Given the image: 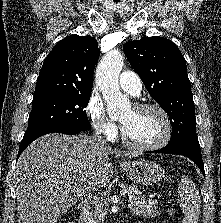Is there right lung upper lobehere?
I'll use <instances>...</instances> for the list:
<instances>
[{
    "mask_svg": "<svg viewBox=\"0 0 221 223\" xmlns=\"http://www.w3.org/2000/svg\"><path fill=\"white\" fill-rule=\"evenodd\" d=\"M98 58V43L89 35H71L59 41L42 65L33 100L90 93Z\"/></svg>",
    "mask_w": 221,
    "mask_h": 223,
    "instance_id": "right-lung-upper-lobe-1",
    "label": "right lung upper lobe"
}]
</instances>
